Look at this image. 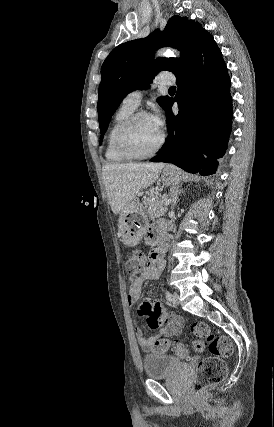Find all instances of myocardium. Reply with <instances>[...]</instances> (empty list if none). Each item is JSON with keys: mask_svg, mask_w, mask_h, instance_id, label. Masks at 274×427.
Here are the masks:
<instances>
[{"mask_svg": "<svg viewBox=\"0 0 274 427\" xmlns=\"http://www.w3.org/2000/svg\"><path fill=\"white\" fill-rule=\"evenodd\" d=\"M147 116H151L150 113H148L147 111H138L134 114H132L121 126L118 135H117V146L119 148V150L129 159V160H147V159H151L153 157H155L164 147L165 143H166V134L165 132L162 131V136L161 139L158 143V145L156 146V148L151 151L148 154L145 155H139L137 153H135L129 146V134L130 131L132 129V127L135 125V123L143 118V117H147Z\"/></svg>", "mask_w": 274, "mask_h": 427, "instance_id": "obj_1", "label": "myocardium"}]
</instances>
